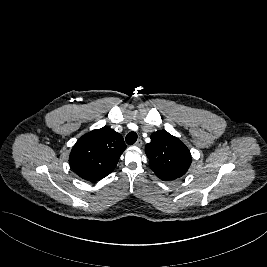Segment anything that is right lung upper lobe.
Wrapping results in <instances>:
<instances>
[{"mask_svg": "<svg viewBox=\"0 0 267 267\" xmlns=\"http://www.w3.org/2000/svg\"><path fill=\"white\" fill-rule=\"evenodd\" d=\"M125 149L123 137L103 127L79 138L71 150L69 163L78 176L95 182L114 170Z\"/></svg>", "mask_w": 267, "mask_h": 267, "instance_id": "1", "label": "right lung upper lobe"}]
</instances>
